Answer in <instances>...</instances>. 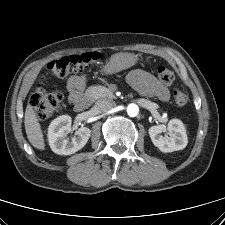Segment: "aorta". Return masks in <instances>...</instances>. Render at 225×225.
<instances>
[{
	"instance_id": "1",
	"label": "aorta",
	"mask_w": 225,
	"mask_h": 225,
	"mask_svg": "<svg viewBox=\"0 0 225 225\" xmlns=\"http://www.w3.org/2000/svg\"><path fill=\"white\" fill-rule=\"evenodd\" d=\"M138 113H139V107L136 104L131 103L127 106V114L130 117H135L138 115Z\"/></svg>"
}]
</instances>
